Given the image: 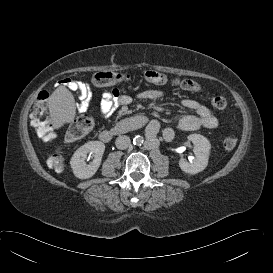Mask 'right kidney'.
<instances>
[{
    "instance_id": "obj_1",
    "label": "right kidney",
    "mask_w": 273,
    "mask_h": 273,
    "mask_svg": "<svg viewBox=\"0 0 273 273\" xmlns=\"http://www.w3.org/2000/svg\"><path fill=\"white\" fill-rule=\"evenodd\" d=\"M104 151L105 145L101 141H89L79 147L70 161L74 175L79 179L92 177L101 164ZM88 154L94 158L89 164L86 163Z\"/></svg>"
}]
</instances>
